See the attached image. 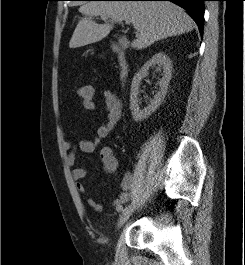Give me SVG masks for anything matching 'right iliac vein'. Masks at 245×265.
I'll use <instances>...</instances> for the list:
<instances>
[{
	"instance_id": "obj_1",
	"label": "right iliac vein",
	"mask_w": 245,
	"mask_h": 265,
	"mask_svg": "<svg viewBox=\"0 0 245 265\" xmlns=\"http://www.w3.org/2000/svg\"><path fill=\"white\" fill-rule=\"evenodd\" d=\"M135 209V204H131L129 206H127L122 214L120 215V218L118 220V227L123 226V224L129 219V217L132 215V213L134 212Z\"/></svg>"
}]
</instances>
